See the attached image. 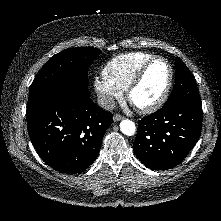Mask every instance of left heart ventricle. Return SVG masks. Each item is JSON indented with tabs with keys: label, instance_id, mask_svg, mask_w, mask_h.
I'll return each mask as SVG.
<instances>
[{
	"label": "left heart ventricle",
	"instance_id": "b2bd125f",
	"mask_svg": "<svg viewBox=\"0 0 221 221\" xmlns=\"http://www.w3.org/2000/svg\"><path fill=\"white\" fill-rule=\"evenodd\" d=\"M167 80L168 68L165 62L162 60L153 62L132 94L133 103L137 106L154 103L163 93Z\"/></svg>",
	"mask_w": 221,
	"mask_h": 221
}]
</instances>
